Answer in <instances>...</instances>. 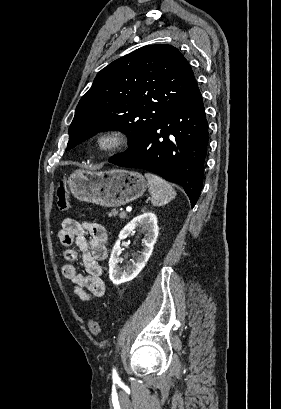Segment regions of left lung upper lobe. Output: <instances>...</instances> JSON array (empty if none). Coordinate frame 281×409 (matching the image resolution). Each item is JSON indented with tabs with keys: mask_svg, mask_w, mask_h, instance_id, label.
<instances>
[{
	"mask_svg": "<svg viewBox=\"0 0 281 409\" xmlns=\"http://www.w3.org/2000/svg\"><path fill=\"white\" fill-rule=\"evenodd\" d=\"M195 82L189 63L171 45H147L115 60L79 101L67 150L105 129L124 132L133 147Z\"/></svg>",
	"mask_w": 281,
	"mask_h": 409,
	"instance_id": "left-lung-upper-lobe-1",
	"label": "left lung upper lobe"
}]
</instances>
